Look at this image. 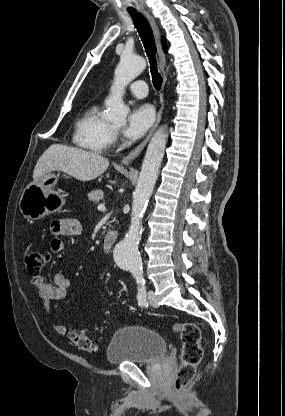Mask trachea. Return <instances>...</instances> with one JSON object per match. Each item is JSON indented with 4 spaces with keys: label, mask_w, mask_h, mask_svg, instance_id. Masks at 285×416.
I'll return each instance as SVG.
<instances>
[{
    "label": "trachea",
    "mask_w": 285,
    "mask_h": 416,
    "mask_svg": "<svg viewBox=\"0 0 285 416\" xmlns=\"http://www.w3.org/2000/svg\"><path fill=\"white\" fill-rule=\"evenodd\" d=\"M130 16L141 37V40L145 48V52L149 59L154 88L156 90H160L162 86L163 78L157 69V60H156L157 49H156V44H155L154 35L151 29V26L146 20V18L143 17L141 13H130Z\"/></svg>",
    "instance_id": "trachea-1"
}]
</instances>
